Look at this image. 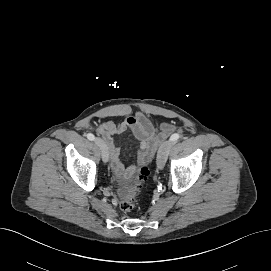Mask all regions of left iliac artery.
I'll return each instance as SVG.
<instances>
[{
    "instance_id": "obj_1",
    "label": "left iliac artery",
    "mask_w": 271,
    "mask_h": 271,
    "mask_svg": "<svg viewBox=\"0 0 271 271\" xmlns=\"http://www.w3.org/2000/svg\"><path fill=\"white\" fill-rule=\"evenodd\" d=\"M180 138V135L175 133L170 137L171 142H176Z\"/></svg>"
}]
</instances>
